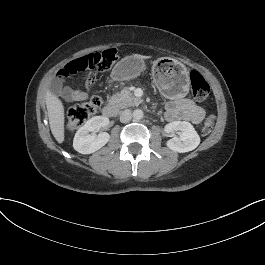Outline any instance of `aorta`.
<instances>
[{"instance_id": "obj_1", "label": "aorta", "mask_w": 265, "mask_h": 265, "mask_svg": "<svg viewBox=\"0 0 265 265\" xmlns=\"http://www.w3.org/2000/svg\"><path fill=\"white\" fill-rule=\"evenodd\" d=\"M143 111L141 109H136L133 111V118L135 120H141L143 118Z\"/></svg>"}]
</instances>
